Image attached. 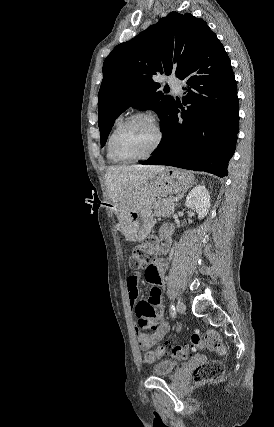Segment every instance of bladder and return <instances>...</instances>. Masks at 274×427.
<instances>
[{
  "mask_svg": "<svg viewBox=\"0 0 274 427\" xmlns=\"http://www.w3.org/2000/svg\"><path fill=\"white\" fill-rule=\"evenodd\" d=\"M177 367L178 363L175 360L162 358L156 360L150 370L155 377L173 376Z\"/></svg>",
  "mask_w": 274,
  "mask_h": 427,
  "instance_id": "31cf9c89",
  "label": "bladder"
}]
</instances>
